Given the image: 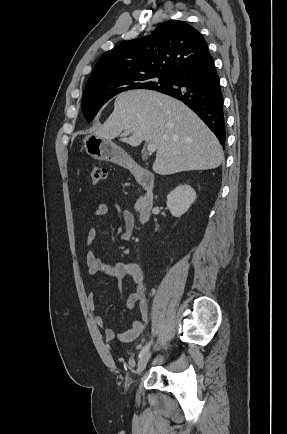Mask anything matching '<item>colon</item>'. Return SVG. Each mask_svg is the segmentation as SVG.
Segmentation results:
<instances>
[{"label": "colon", "instance_id": "5ec220e1", "mask_svg": "<svg viewBox=\"0 0 287 434\" xmlns=\"http://www.w3.org/2000/svg\"><path fill=\"white\" fill-rule=\"evenodd\" d=\"M106 177V169L101 166H93L90 169V180L93 184L101 182Z\"/></svg>", "mask_w": 287, "mask_h": 434}]
</instances>
